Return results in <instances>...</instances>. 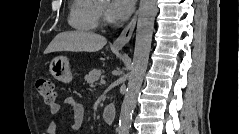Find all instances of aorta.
Segmentation results:
<instances>
[{"label": "aorta", "mask_w": 239, "mask_h": 134, "mask_svg": "<svg viewBox=\"0 0 239 134\" xmlns=\"http://www.w3.org/2000/svg\"><path fill=\"white\" fill-rule=\"evenodd\" d=\"M156 12V0L140 1L132 67L119 117V134H128L131 128L137 94L148 66Z\"/></svg>", "instance_id": "1"}]
</instances>
